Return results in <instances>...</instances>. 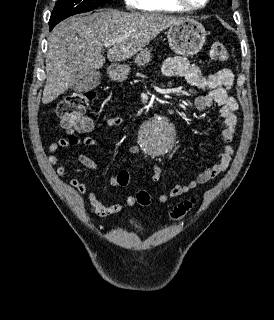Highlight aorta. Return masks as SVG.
<instances>
[{
    "label": "aorta",
    "instance_id": "aorta-1",
    "mask_svg": "<svg viewBox=\"0 0 274 320\" xmlns=\"http://www.w3.org/2000/svg\"><path fill=\"white\" fill-rule=\"evenodd\" d=\"M142 141L149 156L159 157L173 148L175 131L167 120L156 119L143 128Z\"/></svg>",
    "mask_w": 274,
    "mask_h": 320
}]
</instances>
